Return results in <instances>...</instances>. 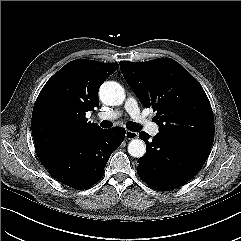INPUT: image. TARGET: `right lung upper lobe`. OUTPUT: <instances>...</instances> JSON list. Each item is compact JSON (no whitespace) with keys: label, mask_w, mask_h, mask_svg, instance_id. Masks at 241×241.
Here are the masks:
<instances>
[{"label":"right lung upper lobe","mask_w":241,"mask_h":241,"mask_svg":"<svg viewBox=\"0 0 241 241\" xmlns=\"http://www.w3.org/2000/svg\"><path fill=\"white\" fill-rule=\"evenodd\" d=\"M117 69V63L77 59L48 80L32 113L37 154L68 146L101 130L98 124L87 122L85 114L99 105V87Z\"/></svg>","instance_id":"right-lung-upper-lobe-1"}]
</instances>
